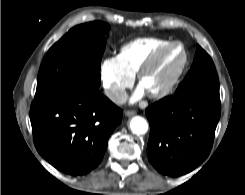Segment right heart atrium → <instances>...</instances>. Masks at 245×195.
I'll list each match as a JSON object with an SVG mask.
<instances>
[{"instance_id": "right-heart-atrium-1", "label": "right heart atrium", "mask_w": 245, "mask_h": 195, "mask_svg": "<svg viewBox=\"0 0 245 195\" xmlns=\"http://www.w3.org/2000/svg\"><path fill=\"white\" fill-rule=\"evenodd\" d=\"M99 78L105 95L114 103L124 101L126 90L133 83V76L122 68L117 57H107L101 61Z\"/></svg>"}]
</instances>
